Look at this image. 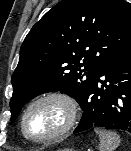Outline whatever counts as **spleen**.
<instances>
[{
  "label": "spleen",
  "mask_w": 131,
  "mask_h": 151,
  "mask_svg": "<svg viewBox=\"0 0 131 151\" xmlns=\"http://www.w3.org/2000/svg\"><path fill=\"white\" fill-rule=\"evenodd\" d=\"M95 133L99 136V151H114L120 144V137L113 131L95 128Z\"/></svg>",
  "instance_id": "obj_1"
}]
</instances>
